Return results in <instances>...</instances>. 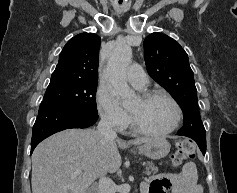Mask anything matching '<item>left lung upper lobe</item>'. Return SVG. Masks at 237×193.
I'll return each mask as SVG.
<instances>
[{
  "label": "left lung upper lobe",
  "instance_id": "1",
  "mask_svg": "<svg viewBox=\"0 0 237 193\" xmlns=\"http://www.w3.org/2000/svg\"><path fill=\"white\" fill-rule=\"evenodd\" d=\"M144 58L150 76L171 93L183 110L184 125L178 135L206 144V131L199 114L197 90L187 53L169 36L152 33L144 40Z\"/></svg>",
  "mask_w": 237,
  "mask_h": 193
}]
</instances>
